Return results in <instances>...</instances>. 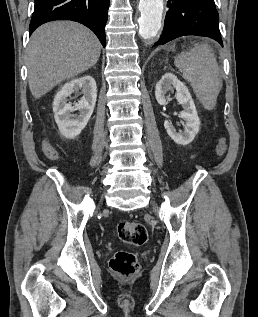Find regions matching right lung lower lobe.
Returning <instances> with one entry per match:
<instances>
[{
  "label": "right lung lower lobe",
  "mask_w": 258,
  "mask_h": 317,
  "mask_svg": "<svg viewBox=\"0 0 258 317\" xmlns=\"http://www.w3.org/2000/svg\"><path fill=\"white\" fill-rule=\"evenodd\" d=\"M109 3L110 0H35L30 34L46 22L72 20L90 28L105 47Z\"/></svg>",
  "instance_id": "right-lung-lower-lobe-1"
}]
</instances>
